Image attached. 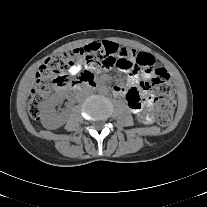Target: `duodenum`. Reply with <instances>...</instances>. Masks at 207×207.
I'll list each match as a JSON object with an SVG mask.
<instances>
[{"instance_id": "410a0bca", "label": "duodenum", "mask_w": 207, "mask_h": 207, "mask_svg": "<svg viewBox=\"0 0 207 207\" xmlns=\"http://www.w3.org/2000/svg\"><path fill=\"white\" fill-rule=\"evenodd\" d=\"M85 83V86H89V87H94L95 83L93 81H83ZM82 83V82H80ZM80 83L74 84L72 86H75V89H79L81 87V85H78ZM77 85V86H76Z\"/></svg>"}]
</instances>
